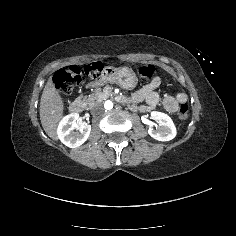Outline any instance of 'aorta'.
Instances as JSON below:
<instances>
[{"label": "aorta", "instance_id": "762f6f07", "mask_svg": "<svg viewBox=\"0 0 236 236\" xmlns=\"http://www.w3.org/2000/svg\"><path fill=\"white\" fill-rule=\"evenodd\" d=\"M104 108L107 109V110H111L113 108V102L110 101V100H107L105 103H104Z\"/></svg>", "mask_w": 236, "mask_h": 236}]
</instances>
